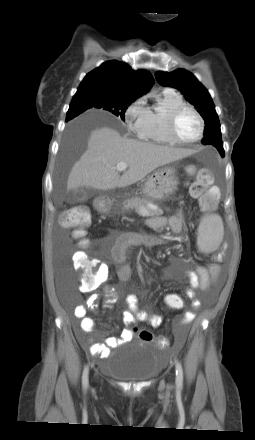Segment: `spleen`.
I'll return each instance as SVG.
<instances>
[{
  "label": "spleen",
  "mask_w": 255,
  "mask_h": 440,
  "mask_svg": "<svg viewBox=\"0 0 255 440\" xmlns=\"http://www.w3.org/2000/svg\"><path fill=\"white\" fill-rule=\"evenodd\" d=\"M224 235L223 222L218 215H206L198 227L197 245L204 253L216 250Z\"/></svg>",
  "instance_id": "1"
}]
</instances>
